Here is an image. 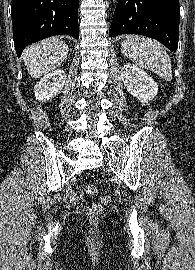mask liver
Returning <instances> with one entry per match:
<instances>
[{
  "label": "liver",
  "mask_w": 195,
  "mask_h": 270,
  "mask_svg": "<svg viewBox=\"0 0 195 270\" xmlns=\"http://www.w3.org/2000/svg\"><path fill=\"white\" fill-rule=\"evenodd\" d=\"M68 45L56 37L45 39L27 47L22 58L28 73L38 78L50 73L67 58Z\"/></svg>",
  "instance_id": "1"
}]
</instances>
